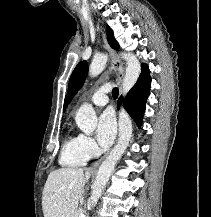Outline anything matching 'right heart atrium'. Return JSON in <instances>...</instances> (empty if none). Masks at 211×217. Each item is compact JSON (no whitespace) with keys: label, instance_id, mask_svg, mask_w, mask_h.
Returning a JSON list of instances; mask_svg holds the SVG:
<instances>
[{"label":"right heart atrium","instance_id":"1","mask_svg":"<svg viewBox=\"0 0 211 217\" xmlns=\"http://www.w3.org/2000/svg\"><path fill=\"white\" fill-rule=\"evenodd\" d=\"M79 138L81 148L83 152L87 155V157H95L99 152V148L96 142L91 137L83 134L79 135Z\"/></svg>","mask_w":211,"mask_h":217}]
</instances>
